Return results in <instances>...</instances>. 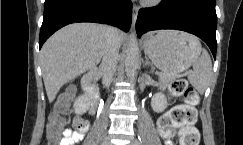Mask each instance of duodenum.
<instances>
[{
  "label": "duodenum",
  "mask_w": 243,
  "mask_h": 145,
  "mask_svg": "<svg viewBox=\"0 0 243 145\" xmlns=\"http://www.w3.org/2000/svg\"><path fill=\"white\" fill-rule=\"evenodd\" d=\"M96 72H89L83 80L84 90L90 100V112L94 113L98 104V90L95 86Z\"/></svg>",
  "instance_id": "1"
}]
</instances>
